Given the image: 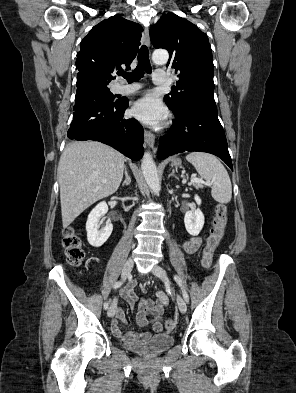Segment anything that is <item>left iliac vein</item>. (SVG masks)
<instances>
[{
	"instance_id": "obj_1",
	"label": "left iliac vein",
	"mask_w": 296,
	"mask_h": 393,
	"mask_svg": "<svg viewBox=\"0 0 296 393\" xmlns=\"http://www.w3.org/2000/svg\"><path fill=\"white\" fill-rule=\"evenodd\" d=\"M152 273L159 277L166 285L170 284V279L166 273V271L159 265H155ZM177 305L181 313H185L187 310V305L184 299L181 296H177Z\"/></svg>"
}]
</instances>
